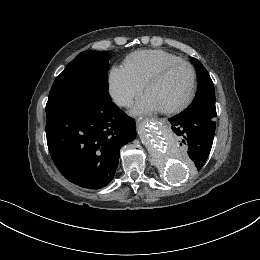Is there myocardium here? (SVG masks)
<instances>
[{
  "instance_id": "myocardium-1",
  "label": "myocardium",
  "mask_w": 260,
  "mask_h": 260,
  "mask_svg": "<svg viewBox=\"0 0 260 260\" xmlns=\"http://www.w3.org/2000/svg\"><path fill=\"white\" fill-rule=\"evenodd\" d=\"M178 66H186L191 75L190 84L186 91V93L176 102H174L171 105H168L166 107L161 108L163 112H172L180 108L192 95L195 85H196V72L194 67L187 61L179 60L176 62L168 63L163 66H161L159 69H157L154 73H152L146 80L144 84V90L147 92V90L152 86L154 83L159 81L162 77H164L170 70L178 67Z\"/></svg>"
}]
</instances>
